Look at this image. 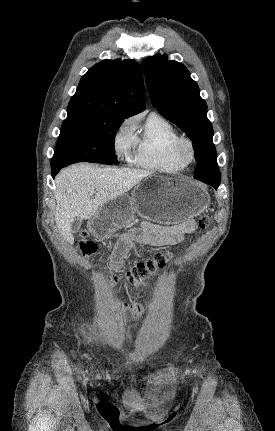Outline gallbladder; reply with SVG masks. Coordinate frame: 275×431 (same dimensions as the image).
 I'll use <instances>...</instances> for the list:
<instances>
[{
    "instance_id": "bac80fb5",
    "label": "gallbladder",
    "mask_w": 275,
    "mask_h": 431,
    "mask_svg": "<svg viewBox=\"0 0 275 431\" xmlns=\"http://www.w3.org/2000/svg\"><path fill=\"white\" fill-rule=\"evenodd\" d=\"M83 224V221L81 219L75 218L73 222L71 223V231L73 233H76L81 228V225Z\"/></svg>"
}]
</instances>
